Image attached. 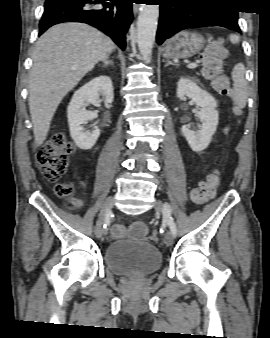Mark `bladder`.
I'll return each instance as SVG.
<instances>
[{
	"label": "bladder",
	"instance_id": "31cf9c89",
	"mask_svg": "<svg viewBox=\"0 0 270 338\" xmlns=\"http://www.w3.org/2000/svg\"><path fill=\"white\" fill-rule=\"evenodd\" d=\"M160 250L145 242H110L105 248V265L109 271L126 278L146 277L162 265Z\"/></svg>",
	"mask_w": 270,
	"mask_h": 338
}]
</instances>
